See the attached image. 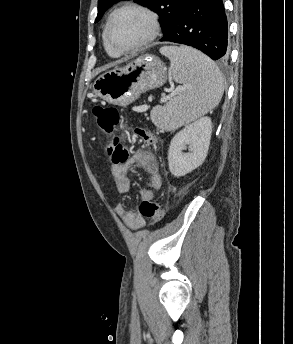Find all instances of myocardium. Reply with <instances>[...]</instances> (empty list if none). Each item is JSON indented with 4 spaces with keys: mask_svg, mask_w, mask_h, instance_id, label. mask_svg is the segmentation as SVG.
I'll return each mask as SVG.
<instances>
[{
    "mask_svg": "<svg viewBox=\"0 0 293 344\" xmlns=\"http://www.w3.org/2000/svg\"><path fill=\"white\" fill-rule=\"evenodd\" d=\"M126 10L137 11V12L141 13L142 15H144V17L148 21V32H147L146 36L143 38V40H141L139 43H137L133 46H130V47H126V48H117L111 42L110 27H111V24H112L114 18L119 13L126 11ZM159 32H160V22H159V18L157 16V14L154 11H152L150 8H148L142 4L130 2V3H125V4L115 8L110 13L108 20H107V23L105 25V29H104V39H105V42L110 49H112L117 54L122 55V54H126V53L136 52V51H139V50L145 48L146 46H148L150 43H152L157 38V36L159 35Z\"/></svg>",
    "mask_w": 293,
    "mask_h": 344,
    "instance_id": "f54148a6",
    "label": "myocardium"
}]
</instances>
